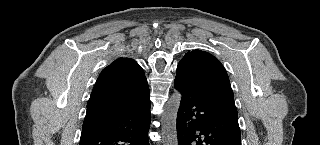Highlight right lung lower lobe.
Masks as SVG:
<instances>
[{"mask_svg": "<svg viewBox=\"0 0 320 145\" xmlns=\"http://www.w3.org/2000/svg\"><path fill=\"white\" fill-rule=\"evenodd\" d=\"M150 98L148 84L125 108L84 120L80 145H149Z\"/></svg>", "mask_w": 320, "mask_h": 145, "instance_id": "98d812e1", "label": "right lung lower lobe"}]
</instances>
